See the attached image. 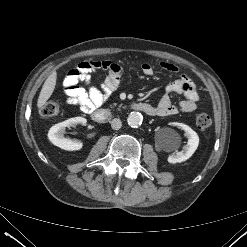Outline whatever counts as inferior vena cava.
Wrapping results in <instances>:
<instances>
[{
    "label": "inferior vena cava",
    "instance_id": "1",
    "mask_svg": "<svg viewBox=\"0 0 247 247\" xmlns=\"http://www.w3.org/2000/svg\"><path fill=\"white\" fill-rule=\"evenodd\" d=\"M121 126H122V122H121L120 119L114 118V119L111 121V127H112V129L118 130V129L121 128Z\"/></svg>",
    "mask_w": 247,
    "mask_h": 247
}]
</instances>
